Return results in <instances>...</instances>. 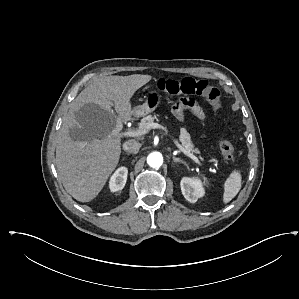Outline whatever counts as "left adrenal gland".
<instances>
[{
  "label": "left adrenal gland",
  "mask_w": 299,
  "mask_h": 299,
  "mask_svg": "<svg viewBox=\"0 0 299 299\" xmlns=\"http://www.w3.org/2000/svg\"><path fill=\"white\" fill-rule=\"evenodd\" d=\"M173 161L176 162V163L179 162V163H182V164L186 165V162H184L183 160H181L180 158H177L175 156H173Z\"/></svg>",
  "instance_id": "a2214340"
}]
</instances>
